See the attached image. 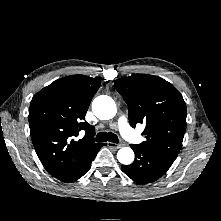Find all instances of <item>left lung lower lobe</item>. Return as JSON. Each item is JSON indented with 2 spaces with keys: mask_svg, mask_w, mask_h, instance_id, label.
Returning <instances> with one entry per match:
<instances>
[{
  "mask_svg": "<svg viewBox=\"0 0 221 221\" xmlns=\"http://www.w3.org/2000/svg\"><path fill=\"white\" fill-rule=\"evenodd\" d=\"M135 153L131 165H122V171L138 184H147L159 179L170 168L175 157L150 150L141 145H130Z\"/></svg>",
  "mask_w": 221,
  "mask_h": 221,
  "instance_id": "left-lung-lower-lobe-1",
  "label": "left lung lower lobe"
}]
</instances>
